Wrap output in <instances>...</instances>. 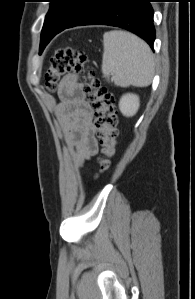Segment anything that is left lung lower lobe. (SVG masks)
Masks as SVG:
<instances>
[{
    "label": "left lung lower lobe",
    "mask_w": 195,
    "mask_h": 299,
    "mask_svg": "<svg viewBox=\"0 0 195 299\" xmlns=\"http://www.w3.org/2000/svg\"><path fill=\"white\" fill-rule=\"evenodd\" d=\"M153 0H88L80 14L65 28L53 30L48 39L66 28L81 25L121 27L144 39L151 48L155 40Z\"/></svg>",
    "instance_id": "left-lung-lower-lobe-1"
}]
</instances>
